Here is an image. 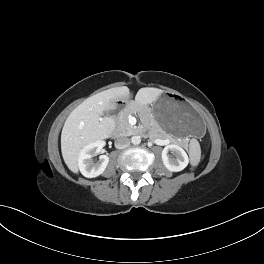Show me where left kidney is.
<instances>
[{"label": "left kidney", "instance_id": "1", "mask_svg": "<svg viewBox=\"0 0 264 264\" xmlns=\"http://www.w3.org/2000/svg\"><path fill=\"white\" fill-rule=\"evenodd\" d=\"M168 152H171L176 158L170 157ZM162 161L169 171L179 172L188 165L189 158L183 148L176 144H169L162 151Z\"/></svg>", "mask_w": 264, "mask_h": 264}]
</instances>
